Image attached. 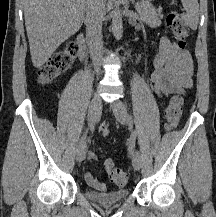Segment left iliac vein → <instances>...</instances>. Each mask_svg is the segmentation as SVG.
<instances>
[{"mask_svg":"<svg viewBox=\"0 0 216 217\" xmlns=\"http://www.w3.org/2000/svg\"><path fill=\"white\" fill-rule=\"evenodd\" d=\"M112 110L117 121L123 125L129 122V116L125 104L117 100L112 104ZM132 165L135 170H139L141 167V158L138 151L132 155Z\"/></svg>","mask_w":216,"mask_h":217,"instance_id":"obj_1","label":"left iliac vein"}]
</instances>
